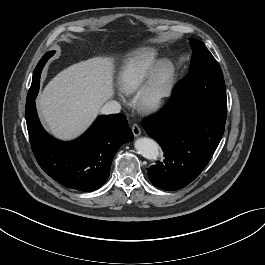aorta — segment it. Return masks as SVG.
I'll return each mask as SVG.
<instances>
[{
    "instance_id": "762f6f07",
    "label": "aorta",
    "mask_w": 265,
    "mask_h": 265,
    "mask_svg": "<svg viewBox=\"0 0 265 265\" xmlns=\"http://www.w3.org/2000/svg\"><path fill=\"white\" fill-rule=\"evenodd\" d=\"M134 146L137 152L146 159L154 160L159 156V146L150 138H139Z\"/></svg>"
}]
</instances>
